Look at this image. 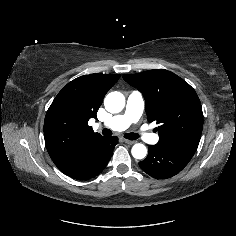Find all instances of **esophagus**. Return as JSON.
<instances>
[{
  "label": "esophagus",
  "mask_w": 236,
  "mask_h": 236,
  "mask_svg": "<svg viewBox=\"0 0 236 236\" xmlns=\"http://www.w3.org/2000/svg\"><path fill=\"white\" fill-rule=\"evenodd\" d=\"M123 141H124L125 143L129 144V145H132V144L135 143L134 140L123 139Z\"/></svg>",
  "instance_id": "obj_1"
}]
</instances>
